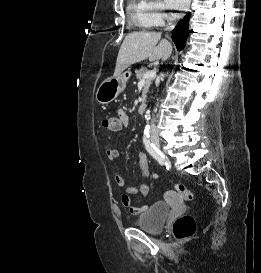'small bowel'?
<instances>
[{
	"label": "small bowel",
	"mask_w": 261,
	"mask_h": 273,
	"mask_svg": "<svg viewBox=\"0 0 261 273\" xmlns=\"http://www.w3.org/2000/svg\"><path fill=\"white\" fill-rule=\"evenodd\" d=\"M117 116L121 121V126H130L131 120L127 112H125L123 109H120L117 112ZM106 156L108 160L114 163L120 157V151L116 148H109L106 151ZM138 164L142 177V181L138 186L127 187L124 176L118 171L115 172V183L119 188L124 190V194L121 196V203L123 206L129 208L130 212L135 215L143 213L148 207L147 205L142 207L132 206L130 198V195L137 194L138 192H141L143 195H147L149 192V186L146 183V179L149 175V163L146 154L142 151L138 153Z\"/></svg>",
	"instance_id": "small-bowel-1"
}]
</instances>
